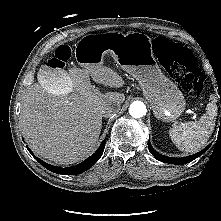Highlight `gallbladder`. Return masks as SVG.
<instances>
[{"label":"gallbladder","instance_id":"bac80fb5","mask_svg":"<svg viewBox=\"0 0 221 221\" xmlns=\"http://www.w3.org/2000/svg\"><path fill=\"white\" fill-rule=\"evenodd\" d=\"M38 80L42 86L52 89L58 93L67 91L71 85V80L67 74L48 65L40 67Z\"/></svg>","mask_w":221,"mask_h":221}]
</instances>
